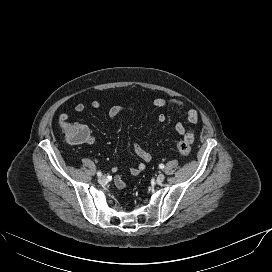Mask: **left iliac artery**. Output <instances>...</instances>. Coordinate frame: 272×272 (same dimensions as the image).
<instances>
[{
    "label": "left iliac artery",
    "mask_w": 272,
    "mask_h": 272,
    "mask_svg": "<svg viewBox=\"0 0 272 272\" xmlns=\"http://www.w3.org/2000/svg\"><path fill=\"white\" fill-rule=\"evenodd\" d=\"M159 168H160V169H163V168H164V164H160V165H159Z\"/></svg>",
    "instance_id": "obj_1"
}]
</instances>
